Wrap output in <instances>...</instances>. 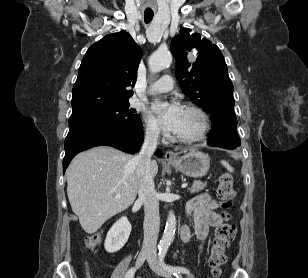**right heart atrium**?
Instances as JSON below:
<instances>
[{
  "mask_svg": "<svg viewBox=\"0 0 308 278\" xmlns=\"http://www.w3.org/2000/svg\"><path fill=\"white\" fill-rule=\"evenodd\" d=\"M145 134L148 139L153 141L164 137L162 129L149 117H145Z\"/></svg>",
  "mask_w": 308,
  "mask_h": 278,
  "instance_id": "right-heart-atrium-1",
  "label": "right heart atrium"
}]
</instances>
